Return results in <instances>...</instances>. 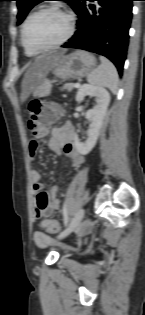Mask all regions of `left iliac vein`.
I'll list each match as a JSON object with an SVG mask.
<instances>
[{
	"label": "left iliac vein",
	"instance_id": "left-iliac-vein-1",
	"mask_svg": "<svg viewBox=\"0 0 145 315\" xmlns=\"http://www.w3.org/2000/svg\"><path fill=\"white\" fill-rule=\"evenodd\" d=\"M85 215V210L83 208H81L72 218L71 222L69 223V225L67 226V228L57 237V239L61 240L63 238H65L66 236H68L71 232H73L74 230H76Z\"/></svg>",
	"mask_w": 145,
	"mask_h": 315
}]
</instances>
